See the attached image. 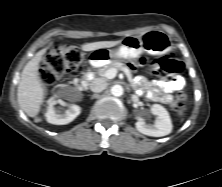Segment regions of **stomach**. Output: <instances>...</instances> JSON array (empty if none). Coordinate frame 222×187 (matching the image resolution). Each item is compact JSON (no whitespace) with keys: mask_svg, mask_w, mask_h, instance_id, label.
Returning <instances> with one entry per match:
<instances>
[{"mask_svg":"<svg viewBox=\"0 0 222 187\" xmlns=\"http://www.w3.org/2000/svg\"><path fill=\"white\" fill-rule=\"evenodd\" d=\"M173 48L168 34L161 30H152L142 37L127 36L114 49L100 48L94 50L91 62L107 63L109 60L131 61L146 52L151 55H163Z\"/></svg>","mask_w":222,"mask_h":187,"instance_id":"obj_1","label":"stomach"}]
</instances>
